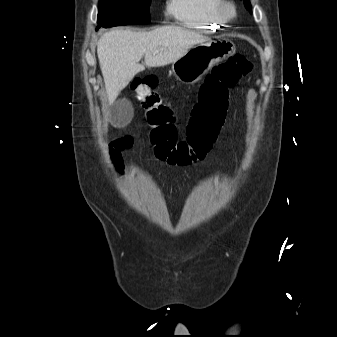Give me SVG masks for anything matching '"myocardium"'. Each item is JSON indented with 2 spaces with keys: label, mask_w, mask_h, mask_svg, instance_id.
I'll list each match as a JSON object with an SVG mask.
<instances>
[{
  "label": "myocardium",
  "mask_w": 337,
  "mask_h": 337,
  "mask_svg": "<svg viewBox=\"0 0 337 337\" xmlns=\"http://www.w3.org/2000/svg\"><path fill=\"white\" fill-rule=\"evenodd\" d=\"M221 13L225 19L232 20L237 15V7L234 2L229 0H222V4L220 6Z\"/></svg>",
  "instance_id": "f54148a6"
}]
</instances>
